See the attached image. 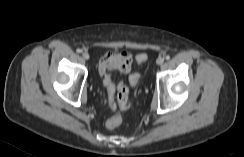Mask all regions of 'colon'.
I'll return each instance as SVG.
<instances>
[{
  "instance_id": "colon-1",
  "label": "colon",
  "mask_w": 244,
  "mask_h": 157,
  "mask_svg": "<svg viewBox=\"0 0 244 157\" xmlns=\"http://www.w3.org/2000/svg\"><path fill=\"white\" fill-rule=\"evenodd\" d=\"M148 59V55L146 53H140L135 57V61L138 64H141L143 62H145ZM115 70L113 69H108L105 71L104 74V86L106 88L107 94H108V98H109V102L113 107H116L117 105L122 107V108H126L129 104V99H128V86L124 81H120L118 83L117 86H115L113 79H112V73ZM140 75L139 73L135 72L133 74H131L130 76V83L132 85H136L139 81ZM117 91V102H115L114 100V94ZM122 123V118L119 115L110 117L107 121H106V126L109 129H115L118 126H120V124Z\"/></svg>"
}]
</instances>
